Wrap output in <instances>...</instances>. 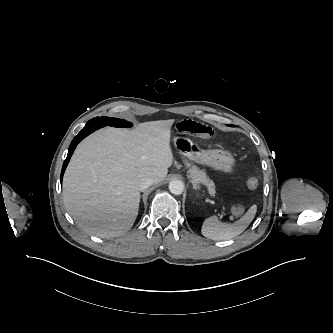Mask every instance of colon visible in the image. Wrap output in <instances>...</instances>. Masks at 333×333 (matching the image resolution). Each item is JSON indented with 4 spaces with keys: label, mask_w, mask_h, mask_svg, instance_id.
<instances>
[{
    "label": "colon",
    "mask_w": 333,
    "mask_h": 333,
    "mask_svg": "<svg viewBox=\"0 0 333 333\" xmlns=\"http://www.w3.org/2000/svg\"><path fill=\"white\" fill-rule=\"evenodd\" d=\"M246 186L249 190H256L258 187L257 179L249 178L246 182ZM231 213L233 217L238 218L244 213V207L240 204L234 205L231 209Z\"/></svg>",
    "instance_id": "colon-1"
}]
</instances>
